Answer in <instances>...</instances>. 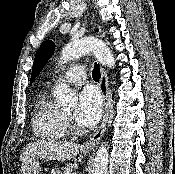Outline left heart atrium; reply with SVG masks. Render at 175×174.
I'll return each mask as SVG.
<instances>
[{"label":"left heart atrium","instance_id":"obj_1","mask_svg":"<svg viewBox=\"0 0 175 174\" xmlns=\"http://www.w3.org/2000/svg\"><path fill=\"white\" fill-rule=\"evenodd\" d=\"M102 114V99L93 87L84 88L78 97V106L74 114L76 123L80 127L94 126Z\"/></svg>","mask_w":175,"mask_h":174}]
</instances>
